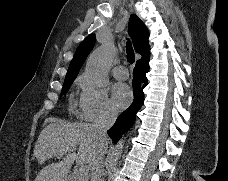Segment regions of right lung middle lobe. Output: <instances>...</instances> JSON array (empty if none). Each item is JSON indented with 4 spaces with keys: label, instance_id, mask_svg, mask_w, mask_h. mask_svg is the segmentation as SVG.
I'll use <instances>...</instances> for the list:
<instances>
[{
    "label": "right lung middle lobe",
    "instance_id": "obj_1",
    "mask_svg": "<svg viewBox=\"0 0 228 181\" xmlns=\"http://www.w3.org/2000/svg\"><path fill=\"white\" fill-rule=\"evenodd\" d=\"M74 80L70 81H65L62 89V94L66 93L68 89L70 88L71 84L73 83Z\"/></svg>",
    "mask_w": 228,
    "mask_h": 181
}]
</instances>
